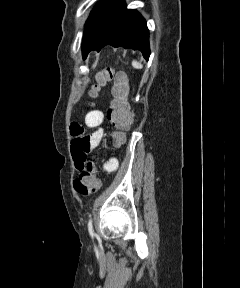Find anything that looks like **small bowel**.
Wrapping results in <instances>:
<instances>
[{
  "mask_svg": "<svg viewBox=\"0 0 240 288\" xmlns=\"http://www.w3.org/2000/svg\"><path fill=\"white\" fill-rule=\"evenodd\" d=\"M103 121V111L94 109L87 112L83 124L73 122L70 125V132L73 137L71 153L77 169H83L90 151L96 148L102 141L104 136V129L102 128ZM86 128L94 129V131L91 134H86ZM117 166V160L112 158L104 164L103 168L107 172H112Z\"/></svg>",
  "mask_w": 240,
  "mask_h": 288,
  "instance_id": "small-bowel-1",
  "label": "small bowel"
}]
</instances>
